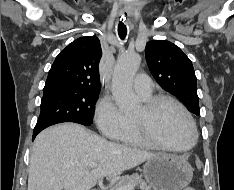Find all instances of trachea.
<instances>
[{
    "label": "trachea",
    "instance_id": "3493384b",
    "mask_svg": "<svg viewBox=\"0 0 234 190\" xmlns=\"http://www.w3.org/2000/svg\"><path fill=\"white\" fill-rule=\"evenodd\" d=\"M126 34H127L126 26L123 23L119 22V24H118V35H119V37L122 40H124L125 37H126Z\"/></svg>",
    "mask_w": 234,
    "mask_h": 190
}]
</instances>
